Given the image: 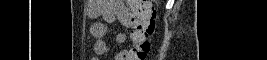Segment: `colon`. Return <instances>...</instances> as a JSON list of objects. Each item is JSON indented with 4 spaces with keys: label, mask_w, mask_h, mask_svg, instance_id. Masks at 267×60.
Listing matches in <instances>:
<instances>
[{
    "label": "colon",
    "mask_w": 267,
    "mask_h": 60,
    "mask_svg": "<svg viewBox=\"0 0 267 60\" xmlns=\"http://www.w3.org/2000/svg\"><path fill=\"white\" fill-rule=\"evenodd\" d=\"M132 16L136 40L133 42V60H145L150 51V37L156 28L155 1L127 0Z\"/></svg>",
    "instance_id": "colon-1"
}]
</instances>
